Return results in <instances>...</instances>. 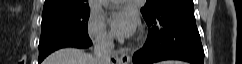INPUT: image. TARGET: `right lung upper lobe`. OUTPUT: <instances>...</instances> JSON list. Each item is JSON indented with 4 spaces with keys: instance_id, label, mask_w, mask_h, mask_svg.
<instances>
[{
    "instance_id": "right-lung-upper-lobe-1",
    "label": "right lung upper lobe",
    "mask_w": 242,
    "mask_h": 64,
    "mask_svg": "<svg viewBox=\"0 0 242 64\" xmlns=\"http://www.w3.org/2000/svg\"><path fill=\"white\" fill-rule=\"evenodd\" d=\"M90 9L88 0H45L43 13Z\"/></svg>"
}]
</instances>
